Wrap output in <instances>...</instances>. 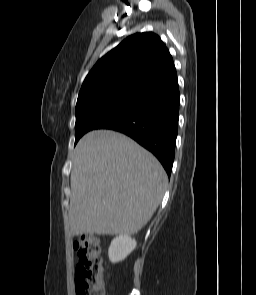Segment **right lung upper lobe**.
I'll list each match as a JSON object with an SVG mask.
<instances>
[{"label": "right lung upper lobe", "mask_w": 256, "mask_h": 295, "mask_svg": "<svg viewBox=\"0 0 256 295\" xmlns=\"http://www.w3.org/2000/svg\"><path fill=\"white\" fill-rule=\"evenodd\" d=\"M173 64L172 56L152 32L136 33L103 56L86 76L77 100L90 105L138 92Z\"/></svg>", "instance_id": "1"}]
</instances>
